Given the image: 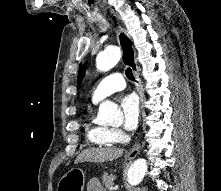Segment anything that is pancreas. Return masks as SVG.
<instances>
[{
    "label": "pancreas",
    "mask_w": 221,
    "mask_h": 191,
    "mask_svg": "<svg viewBox=\"0 0 221 191\" xmlns=\"http://www.w3.org/2000/svg\"><path fill=\"white\" fill-rule=\"evenodd\" d=\"M115 179L116 177L112 174L109 175L108 173H104L102 175V183L107 189H110L113 186Z\"/></svg>",
    "instance_id": "pancreas-1"
}]
</instances>
